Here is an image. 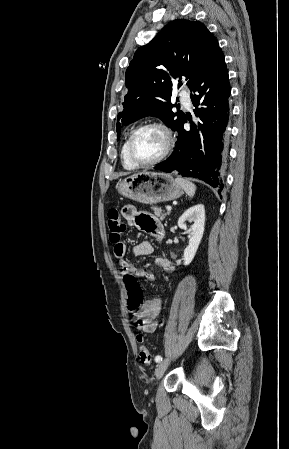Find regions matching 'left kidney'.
Segmentation results:
<instances>
[{
  "label": "left kidney",
  "mask_w": 289,
  "mask_h": 449,
  "mask_svg": "<svg viewBox=\"0 0 289 449\" xmlns=\"http://www.w3.org/2000/svg\"><path fill=\"white\" fill-rule=\"evenodd\" d=\"M193 222L188 229L185 222ZM178 226L189 233V245L184 250L183 264L189 265L195 257L199 244L202 240L205 226V208L198 204L186 210L178 220Z\"/></svg>",
  "instance_id": "obj_1"
}]
</instances>
